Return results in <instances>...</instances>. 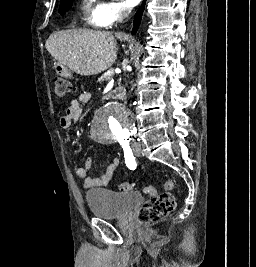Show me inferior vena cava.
<instances>
[{
	"label": "inferior vena cava",
	"instance_id": "inferior-vena-cava-1",
	"mask_svg": "<svg viewBox=\"0 0 256 267\" xmlns=\"http://www.w3.org/2000/svg\"><path fill=\"white\" fill-rule=\"evenodd\" d=\"M128 14H130V12L127 10L126 6H124L123 18H128Z\"/></svg>",
	"mask_w": 256,
	"mask_h": 267
}]
</instances>
